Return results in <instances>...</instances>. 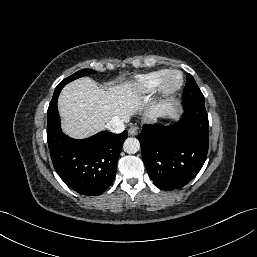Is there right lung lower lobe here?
Here are the masks:
<instances>
[{"mask_svg": "<svg viewBox=\"0 0 257 257\" xmlns=\"http://www.w3.org/2000/svg\"><path fill=\"white\" fill-rule=\"evenodd\" d=\"M58 95L53 96L47 111V141L54 168L76 192L99 195L114 181L127 131L121 134L102 131L83 140L66 136L60 128Z\"/></svg>", "mask_w": 257, "mask_h": 257, "instance_id": "1", "label": "right lung lower lobe"}]
</instances>
